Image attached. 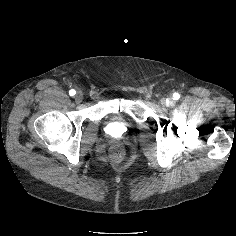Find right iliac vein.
<instances>
[{"instance_id": "63e3f726", "label": "right iliac vein", "mask_w": 236, "mask_h": 236, "mask_svg": "<svg viewBox=\"0 0 236 236\" xmlns=\"http://www.w3.org/2000/svg\"><path fill=\"white\" fill-rule=\"evenodd\" d=\"M83 100V93L81 91L77 92L76 96H75V101L77 103H80Z\"/></svg>"}]
</instances>
